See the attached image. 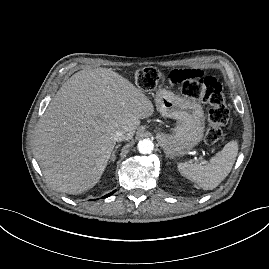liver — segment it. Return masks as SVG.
I'll return each mask as SVG.
<instances>
[{
  "label": "liver",
  "instance_id": "obj_1",
  "mask_svg": "<svg viewBox=\"0 0 269 269\" xmlns=\"http://www.w3.org/2000/svg\"><path fill=\"white\" fill-rule=\"evenodd\" d=\"M154 105L130 81L110 68L84 69L55 94L35 135L36 159L50 186L81 194L100 180L117 130L132 139Z\"/></svg>",
  "mask_w": 269,
  "mask_h": 269
}]
</instances>
